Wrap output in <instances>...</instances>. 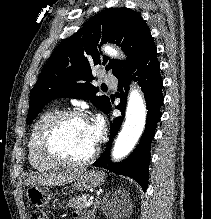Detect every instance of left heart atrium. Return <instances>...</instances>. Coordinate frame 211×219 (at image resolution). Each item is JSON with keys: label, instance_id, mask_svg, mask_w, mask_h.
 <instances>
[{"label": "left heart atrium", "instance_id": "39dd6f15", "mask_svg": "<svg viewBox=\"0 0 211 219\" xmlns=\"http://www.w3.org/2000/svg\"><path fill=\"white\" fill-rule=\"evenodd\" d=\"M91 138L95 144L99 142L103 134V121L100 117H96L92 122L88 124Z\"/></svg>", "mask_w": 211, "mask_h": 219}]
</instances>
